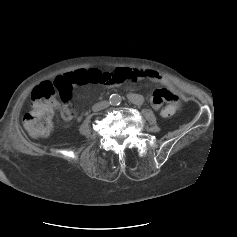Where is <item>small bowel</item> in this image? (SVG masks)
<instances>
[{
  "mask_svg": "<svg viewBox=\"0 0 237 237\" xmlns=\"http://www.w3.org/2000/svg\"><path fill=\"white\" fill-rule=\"evenodd\" d=\"M111 79L102 85L106 87H114L126 80L138 81L141 79H149L154 83H158L164 86V88L157 89L154 91L151 98V105L154 109L159 110L164 103L169 105H176L178 107V97L175 86L171 83L169 79L162 76L161 74L152 70H141V69H129V68H118L111 71ZM129 99L135 103L139 104L142 102L143 98L140 94L131 93ZM57 107L61 109L62 117L65 120H71L74 116V111L69 112L66 106H61L57 104Z\"/></svg>",
  "mask_w": 237,
  "mask_h": 237,
  "instance_id": "small-bowel-1",
  "label": "small bowel"
}]
</instances>
